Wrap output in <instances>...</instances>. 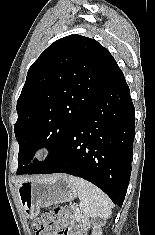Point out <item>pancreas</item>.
<instances>
[{
	"mask_svg": "<svg viewBox=\"0 0 155 235\" xmlns=\"http://www.w3.org/2000/svg\"><path fill=\"white\" fill-rule=\"evenodd\" d=\"M70 217L73 219H77L78 218V211H76V210L72 211Z\"/></svg>",
	"mask_w": 155,
	"mask_h": 235,
	"instance_id": "1",
	"label": "pancreas"
}]
</instances>
